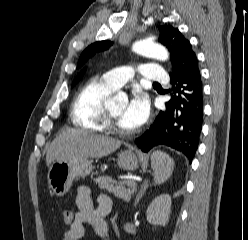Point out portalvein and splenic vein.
Masks as SVG:
<instances>
[{"label":"portal vein and splenic vein","mask_w":248,"mask_h":240,"mask_svg":"<svg viewBox=\"0 0 248 240\" xmlns=\"http://www.w3.org/2000/svg\"><path fill=\"white\" fill-rule=\"evenodd\" d=\"M127 184L129 185V186H133V187H137V183L135 182V181H128L127 182Z\"/></svg>","instance_id":"portal-vein-and-splenic-vein-1"}]
</instances>
